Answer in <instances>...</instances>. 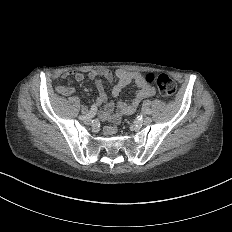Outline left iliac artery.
Segmentation results:
<instances>
[{
	"label": "left iliac artery",
	"instance_id": "obj_1",
	"mask_svg": "<svg viewBox=\"0 0 232 232\" xmlns=\"http://www.w3.org/2000/svg\"><path fill=\"white\" fill-rule=\"evenodd\" d=\"M138 121H142L144 118L142 115H138L137 118H136Z\"/></svg>",
	"mask_w": 232,
	"mask_h": 232
}]
</instances>
